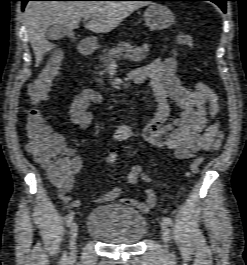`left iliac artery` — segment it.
I'll return each mask as SVG.
<instances>
[{
  "label": "left iliac artery",
  "mask_w": 247,
  "mask_h": 265,
  "mask_svg": "<svg viewBox=\"0 0 247 265\" xmlns=\"http://www.w3.org/2000/svg\"><path fill=\"white\" fill-rule=\"evenodd\" d=\"M163 221L170 226L173 225V222L169 217H163Z\"/></svg>",
  "instance_id": "left-iliac-artery-1"
}]
</instances>
